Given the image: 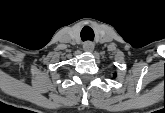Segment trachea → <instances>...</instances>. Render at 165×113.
<instances>
[{"label":"trachea","instance_id":"1","mask_svg":"<svg viewBox=\"0 0 165 113\" xmlns=\"http://www.w3.org/2000/svg\"><path fill=\"white\" fill-rule=\"evenodd\" d=\"M81 39L82 41H93L94 40V32L92 28L89 26H84L83 29L81 30Z\"/></svg>","mask_w":165,"mask_h":113}]
</instances>
